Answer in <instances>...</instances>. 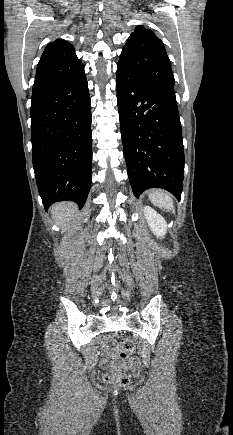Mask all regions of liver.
Masks as SVG:
<instances>
[{
	"label": "liver",
	"mask_w": 233,
	"mask_h": 435,
	"mask_svg": "<svg viewBox=\"0 0 233 435\" xmlns=\"http://www.w3.org/2000/svg\"><path fill=\"white\" fill-rule=\"evenodd\" d=\"M52 216L60 225L68 224L76 212V205L70 202H61L54 204L51 209Z\"/></svg>",
	"instance_id": "1"
}]
</instances>
